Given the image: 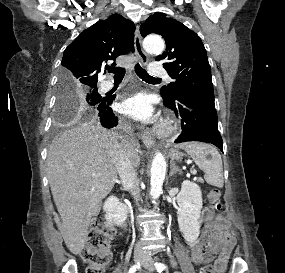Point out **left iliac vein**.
Returning <instances> with one entry per match:
<instances>
[{"label":"left iliac vein","mask_w":285,"mask_h":273,"mask_svg":"<svg viewBox=\"0 0 285 273\" xmlns=\"http://www.w3.org/2000/svg\"><path fill=\"white\" fill-rule=\"evenodd\" d=\"M143 267L145 269H147L148 271H150V272L154 271L153 261H152L151 257L148 254H146L145 257H144Z\"/></svg>","instance_id":"left-iliac-vein-1"}]
</instances>
